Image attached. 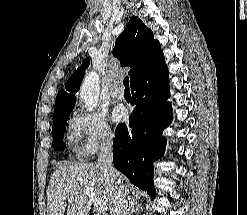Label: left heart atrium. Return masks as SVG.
<instances>
[{
  "mask_svg": "<svg viewBox=\"0 0 247 215\" xmlns=\"http://www.w3.org/2000/svg\"><path fill=\"white\" fill-rule=\"evenodd\" d=\"M126 113L123 107H116L112 111L111 118L114 122H120L124 119Z\"/></svg>",
  "mask_w": 247,
  "mask_h": 215,
  "instance_id": "39dd6f15",
  "label": "left heart atrium"
}]
</instances>
